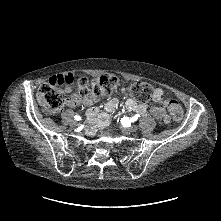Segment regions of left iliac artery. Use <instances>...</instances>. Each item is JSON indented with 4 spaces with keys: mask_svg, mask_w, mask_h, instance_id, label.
<instances>
[{
    "mask_svg": "<svg viewBox=\"0 0 221 221\" xmlns=\"http://www.w3.org/2000/svg\"><path fill=\"white\" fill-rule=\"evenodd\" d=\"M140 117L139 114L135 115L134 117L132 118H127V117H124L121 119V124L124 126V127H128L131 125V122H134L136 121L138 118Z\"/></svg>",
    "mask_w": 221,
    "mask_h": 221,
    "instance_id": "obj_1",
    "label": "left iliac artery"
}]
</instances>
